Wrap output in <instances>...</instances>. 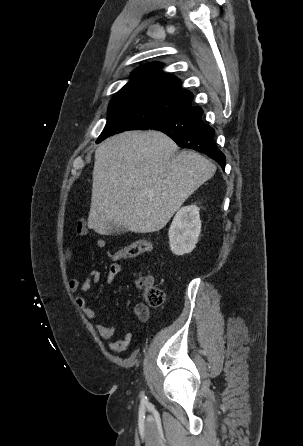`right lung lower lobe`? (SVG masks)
<instances>
[{"mask_svg": "<svg viewBox=\"0 0 303 446\" xmlns=\"http://www.w3.org/2000/svg\"><path fill=\"white\" fill-rule=\"evenodd\" d=\"M199 106L188 105L147 123L141 130H159L171 137L178 146L206 154L225 168V155L214 141L215 130L202 118Z\"/></svg>", "mask_w": 303, "mask_h": 446, "instance_id": "right-lung-lower-lobe-1", "label": "right lung lower lobe"}]
</instances>
